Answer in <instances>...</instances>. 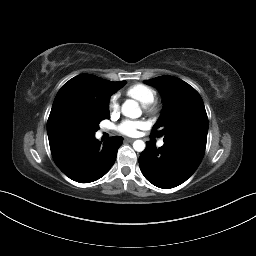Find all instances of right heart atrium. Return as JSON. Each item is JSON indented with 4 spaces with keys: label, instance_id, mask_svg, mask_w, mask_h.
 <instances>
[{
    "label": "right heart atrium",
    "instance_id": "obj_1",
    "mask_svg": "<svg viewBox=\"0 0 256 256\" xmlns=\"http://www.w3.org/2000/svg\"><path fill=\"white\" fill-rule=\"evenodd\" d=\"M108 109L110 113H116L119 109V104L116 96H112L108 101Z\"/></svg>",
    "mask_w": 256,
    "mask_h": 256
}]
</instances>
